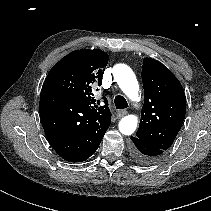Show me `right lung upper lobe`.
I'll return each instance as SVG.
<instances>
[{
  "label": "right lung upper lobe",
  "mask_w": 211,
  "mask_h": 211,
  "mask_svg": "<svg viewBox=\"0 0 211 211\" xmlns=\"http://www.w3.org/2000/svg\"><path fill=\"white\" fill-rule=\"evenodd\" d=\"M108 59V54L99 49L73 51L53 66L42 89L70 96L79 102L87 114L111 122L108 102L98 107L92 93L94 86L102 84V69L106 67Z\"/></svg>",
  "instance_id": "cb5924a9"
}]
</instances>
